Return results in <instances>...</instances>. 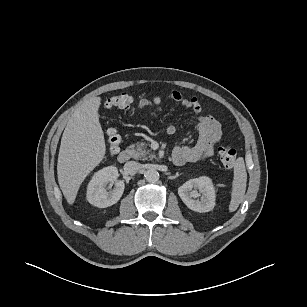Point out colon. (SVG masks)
<instances>
[{"label":"colon","instance_id":"1","mask_svg":"<svg viewBox=\"0 0 307 307\" xmlns=\"http://www.w3.org/2000/svg\"><path fill=\"white\" fill-rule=\"evenodd\" d=\"M161 104H162L161 99H155L153 101L140 100L137 103L131 95H129L126 92H123L108 98L104 102V107L107 109L118 108L125 111L133 112L137 109H142V108L160 109ZM106 134L108 138L110 152L119 151L121 136L118 133L117 129L108 128ZM217 151L223 166L226 169L232 168L236 159L235 149L230 145H220L218 146Z\"/></svg>","mask_w":307,"mask_h":307}]
</instances>
